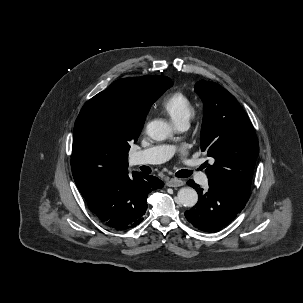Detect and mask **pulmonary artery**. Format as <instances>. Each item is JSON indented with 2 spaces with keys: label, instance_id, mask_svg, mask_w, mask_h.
I'll use <instances>...</instances> for the list:
<instances>
[{
  "label": "pulmonary artery",
  "instance_id": "1",
  "mask_svg": "<svg viewBox=\"0 0 303 303\" xmlns=\"http://www.w3.org/2000/svg\"><path fill=\"white\" fill-rule=\"evenodd\" d=\"M179 130H185L188 127V123H182L177 126ZM175 146L173 145H159L146 150L135 152L131 157V162L134 165L145 164H160L170 159L174 152ZM190 166H194L195 162H188ZM195 179L198 183L206 186L208 178L204 173H196Z\"/></svg>",
  "mask_w": 303,
  "mask_h": 303
}]
</instances>
